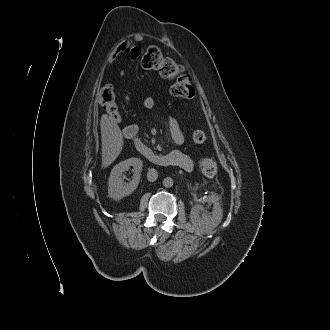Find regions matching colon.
Returning <instances> with one entry per match:
<instances>
[{
	"label": "colon",
	"instance_id": "obj_1",
	"mask_svg": "<svg viewBox=\"0 0 330 330\" xmlns=\"http://www.w3.org/2000/svg\"><path fill=\"white\" fill-rule=\"evenodd\" d=\"M141 66L146 70L155 71L163 79L173 80L171 93L174 96L187 99L195 95L190 75L184 72L182 65L165 57L159 47L152 45L145 50L141 57ZM98 99L112 118H120L115 92L111 85H105L100 89ZM191 139L196 144H202L207 137L204 132L195 130L191 134ZM199 169L203 175L213 177L217 172V163L214 159L205 157L199 161Z\"/></svg>",
	"mask_w": 330,
	"mask_h": 330
}]
</instances>
